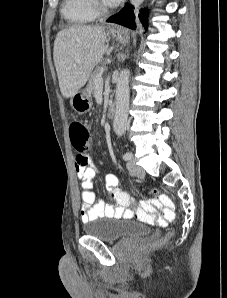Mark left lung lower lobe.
I'll return each instance as SVG.
<instances>
[{
  "instance_id": "obj_1",
  "label": "left lung lower lobe",
  "mask_w": 227,
  "mask_h": 298,
  "mask_svg": "<svg viewBox=\"0 0 227 298\" xmlns=\"http://www.w3.org/2000/svg\"><path fill=\"white\" fill-rule=\"evenodd\" d=\"M135 20H139L144 25L145 29H147V12L141 9L139 13L134 14L132 6L126 4L119 13L107 19V22H114L130 29H136Z\"/></svg>"
}]
</instances>
